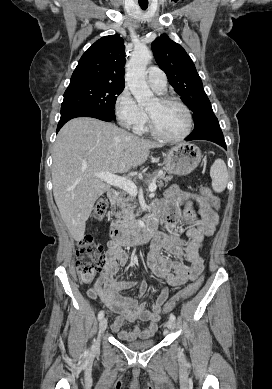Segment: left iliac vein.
Here are the masks:
<instances>
[{"label": "left iliac vein", "mask_w": 272, "mask_h": 389, "mask_svg": "<svg viewBox=\"0 0 272 389\" xmlns=\"http://www.w3.org/2000/svg\"><path fill=\"white\" fill-rule=\"evenodd\" d=\"M166 326H167V328H168L169 330H174V328H175V323H174V321L169 320V321H167Z\"/></svg>", "instance_id": "1"}]
</instances>
